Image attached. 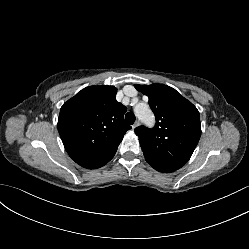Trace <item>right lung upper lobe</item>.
Here are the masks:
<instances>
[{"instance_id": "1", "label": "right lung upper lobe", "mask_w": 249, "mask_h": 249, "mask_svg": "<svg viewBox=\"0 0 249 249\" xmlns=\"http://www.w3.org/2000/svg\"><path fill=\"white\" fill-rule=\"evenodd\" d=\"M114 86H91L78 92L60 109L58 131L69 156L78 164L116 152L131 126L127 108L116 101Z\"/></svg>"}]
</instances>
